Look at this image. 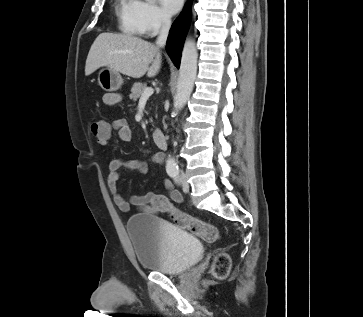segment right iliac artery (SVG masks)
<instances>
[{
  "label": "right iliac artery",
  "mask_w": 363,
  "mask_h": 317,
  "mask_svg": "<svg viewBox=\"0 0 363 317\" xmlns=\"http://www.w3.org/2000/svg\"><path fill=\"white\" fill-rule=\"evenodd\" d=\"M175 173H176V171H170V172H169V175H170V176H172V175H173V174H175Z\"/></svg>",
  "instance_id": "82829eb1"
}]
</instances>
